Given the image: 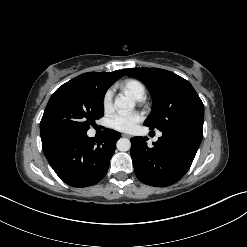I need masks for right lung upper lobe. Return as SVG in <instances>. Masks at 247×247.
I'll return each instance as SVG.
<instances>
[{"mask_svg": "<svg viewBox=\"0 0 247 247\" xmlns=\"http://www.w3.org/2000/svg\"><path fill=\"white\" fill-rule=\"evenodd\" d=\"M124 74H125L124 70H116L113 72H101V73L89 72V73H84L82 75H79L74 79L75 80L87 79L107 90L116 80L121 78Z\"/></svg>", "mask_w": 247, "mask_h": 247, "instance_id": "cb5924a9", "label": "right lung upper lobe"}]
</instances>
